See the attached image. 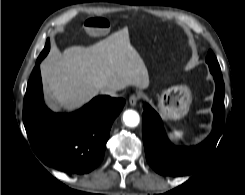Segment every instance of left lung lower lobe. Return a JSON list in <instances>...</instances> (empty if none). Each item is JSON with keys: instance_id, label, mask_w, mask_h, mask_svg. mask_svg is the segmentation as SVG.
<instances>
[{"instance_id": "obj_1", "label": "left lung lower lobe", "mask_w": 245, "mask_h": 195, "mask_svg": "<svg viewBox=\"0 0 245 195\" xmlns=\"http://www.w3.org/2000/svg\"><path fill=\"white\" fill-rule=\"evenodd\" d=\"M216 90L212 111L213 131L201 144L176 147L167 138L160 116L147 103L143 105L142 134L146 159L159 174L183 176L194 172L198 165L213 151L223 131L225 86L222 75L213 74Z\"/></svg>"}]
</instances>
